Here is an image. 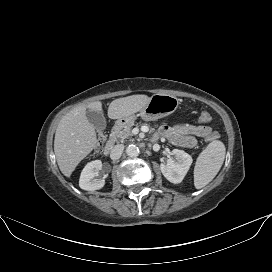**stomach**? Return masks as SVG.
Masks as SVG:
<instances>
[{
	"instance_id": "stomach-1",
	"label": "stomach",
	"mask_w": 272,
	"mask_h": 272,
	"mask_svg": "<svg viewBox=\"0 0 272 272\" xmlns=\"http://www.w3.org/2000/svg\"><path fill=\"white\" fill-rule=\"evenodd\" d=\"M179 99L169 94H154L150 97L147 105L137 115L123 117L117 121L120 125L132 123L137 116L145 121H152L168 116L176 111Z\"/></svg>"
}]
</instances>
